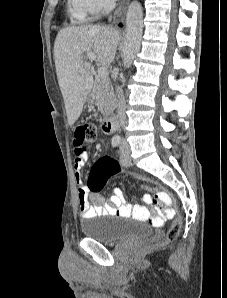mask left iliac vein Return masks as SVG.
Instances as JSON below:
<instances>
[{"label": "left iliac vein", "mask_w": 227, "mask_h": 298, "mask_svg": "<svg viewBox=\"0 0 227 298\" xmlns=\"http://www.w3.org/2000/svg\"><path fill=\"white\" fill-rule=\"evenodd\" d=\"M130 148L127 144H123L120 149V161L121 164L125 167L131 165V156H130Z\"/></svg>", "instance_id": "obj_1"}]
</instances>
